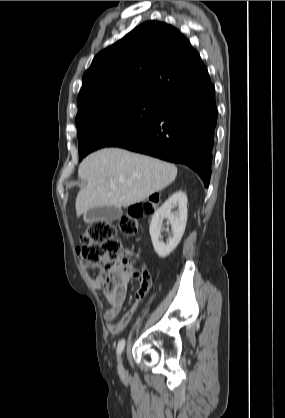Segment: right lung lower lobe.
Here are the masks:
<instances>
[{"instance_id":"right-lung-lower-lobe-1","label":"right lung lower lobe","mask_w":285,"mask_h":418,"mask_svg":"<svg viewBox=\"0 0 285 418\" xmlns=\"http://www.w3.org/2000/svg\"><path fill=\"white\" fill-rule=\"evenodd\" d=\"M218 111L209 74L163 104L158 117L115 147L189 166L208 187Z\"/></svg>"}]
</instances>
